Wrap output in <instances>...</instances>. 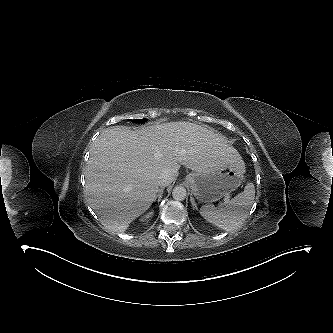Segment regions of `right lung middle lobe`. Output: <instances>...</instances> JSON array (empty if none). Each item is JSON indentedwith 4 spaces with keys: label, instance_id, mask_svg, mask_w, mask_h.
Wrapping results in <instances>:
<instances>
[{
    "label": "right lung middle lobe",
    "instance_id": "right-lung-middle-lobe-1",
    "mask_svg": "<svg viewBox=\"0 0 333 333\" xmlns=\"http://www.w3.org/2000/svg\"><path fill=\"white\" fill-rule=\"evenodd\" d=\"M131 121L136 122V123H145L146 119L131 120Z\"/></svg>",
    "mask_w": 333,
    "mask_h": 333
}]
</instances>
